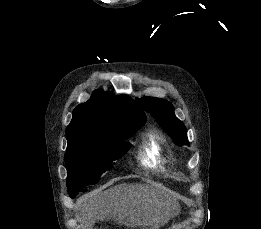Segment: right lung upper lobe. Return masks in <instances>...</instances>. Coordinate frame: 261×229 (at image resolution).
<instances>
[{
    "mask_svg": "<svg viewBox=\"0 0 261 229\" xmlns=\"http://www.w3.org/2000/svg\"><path fill=\"white\" fill-rule=\"evenodd\" d=\"M144 122V112L129 96L97 90L87 102L74 109L66 129L68 146L86 141H115L110 129Z\"/></svg>",
    "mask_w": 261,
    "mask_h": 229,
    "instance_id": "obj_1",
    "label": "right lung upper lobe"
}]
</instances>
